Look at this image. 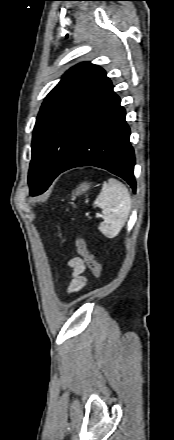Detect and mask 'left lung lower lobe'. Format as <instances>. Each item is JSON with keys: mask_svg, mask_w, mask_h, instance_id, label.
Listing matches in <instances>:
<instances>
[{"mask_svg": "<svg viewBox=\"0 0 174 440\" xmlns=\"http://www.w3.org/2000/svg\"><path fill=\"white\" fill-rule=\"evenodd\" d=\"M120 101L112 87L88 117L59 174L75 167L95 166L123 178L135 192V156Z\"/></svg>", "mask_w": 174, "mask_h": 440, "instance_id": "0a47b994", "label": "left lung lower lobe"}]
</instances>
